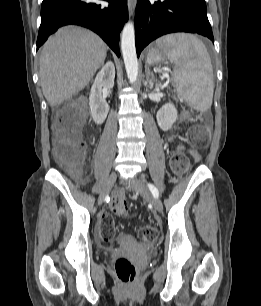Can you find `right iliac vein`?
Returning a JSON list of instances; mask_svg holds the SVG:
<instances>
[{
    "label": "right iliac vein",
    "instance_id": "obj_1",
    "mask_svg": "<svg viewBox=\"0 0 261 306\" xmlns=\"http://www.w3.org/2000/svg\"><path fill=\"white\" fill-rule=\"evenodd\" d=\"M116 179H117L116 173H112L108 177V179H107V181H106V183H105V185H104V187H103V189H102V191L100 193L99 199H98V204L99 205H101L103 203L104 199L106 198V196L111 191L114 183L116 182Z\"/></svg>",
    "mask_w": 261,
    "mask_h": 306
}]
</instances>
